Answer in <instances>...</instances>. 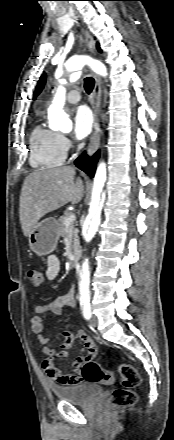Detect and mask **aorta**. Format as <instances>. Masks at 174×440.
<instances>
[{
  "label": "aorta",
  "instance_id": "762f6f07",
  "mask_svg": "<svg viewBox=\"0 0 174 440\" xmlns=\"http://www.w3.org/2000/svg\"><path fill=\"white\" fill-rule=\"evenodd\" d=\"M81 67L82 62L80 60H73L65 65V73L69 75V80H76L79 77V70ZM59 83L60 86L58 87L52 104L48 109L49 127L52 130L69 132L72 129V122L63 110L66 94V89L63 85L67 83V79L65 77L61 78ZM104 182L105 168L103 164H100L94 179L89 214L83 226V237L87 242H90L93 239L101 222V213L105 202V192L103 191ZM89 276V262L88 259H85L80 274V288L82 290H88Z\"/></svg>",
  "mask_w": 174,
  "mask_h": 440
}]
</instances>
